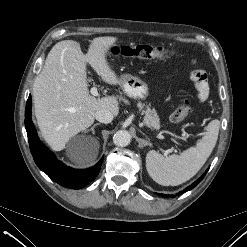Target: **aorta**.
Wrapping results in <instances>:
<instances>
[{
	"label": "aorta",
	"instance_id": "aorta-1",
	"mask_svg": "<svg viewBox=\"0 0 247 247\" xmlns=\"http://www.w3.org/2000/svg\"><path fill=\"white\" fill-rule=\"evenodd\" d=\"M131 142V134L127 130H118L113 136V143L118 147H126Z\"/></svg>",
	"mask_w": 247,
	"mask_h": 247
}]
</instances>
